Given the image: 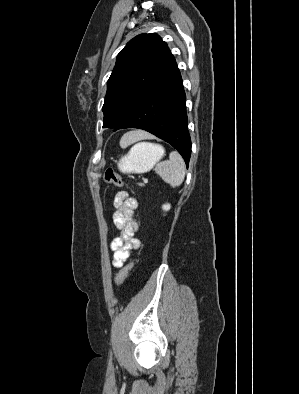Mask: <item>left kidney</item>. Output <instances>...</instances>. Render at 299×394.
<instances>
[{"mask_svg":"<svg viewBox=\"0 0 299 394\" xmlns=\"http://www.w3.org/2000/svg\"><path fill=\"white\" fill-rule=\"evenodd\" d=\"M170 208H171V205H170V204H164V205L162 206V209H163L164 211H169Z\"/></svg>","mask_w":299,"mask_h":394,"instance_id":"left-kidney-1","label":"left kidney"}]
</instances>
